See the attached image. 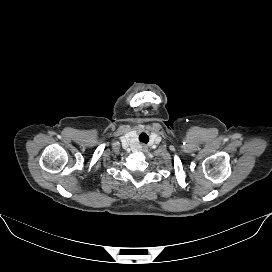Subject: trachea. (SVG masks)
Returning a JSON list of instances; mask_svg holds the SVG:
<instances>
[{"instance_id":"obj_1","label":"trachea","mask_w":272,"mask_h":272,"mask_svg":"<svg viewBox=\"0 0 272 272\" xmlns=\"http://www.w3.org/2000/svg\"><path fill=\"white\" fill-rule=\"evenodd\" d=\"M139 140L143 143H148L149 136L146 133H141L139 136Z\"/></svg>"}]
</instances>
